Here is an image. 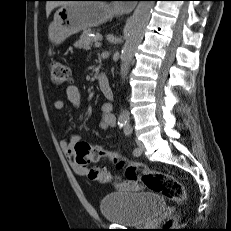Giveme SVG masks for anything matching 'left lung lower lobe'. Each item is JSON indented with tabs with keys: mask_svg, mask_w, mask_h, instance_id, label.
I'll use <instances>...</instances> for the list:
<instances>
[{
	"mask_svg": "<svg viewBox=\"0 0 231 231\" xmlns=\"http://www.w3.org/2000/svg\"><path fill=\"white\" fill-rule=\"evenodd\" d=\"M101 1H112V0H101Z\"/></svg>",
	"mask_w": 231,
	"mask_h": 231,
	"instance_id": "1",
	"label": "left lung lower lobe"
}]
</instances>
